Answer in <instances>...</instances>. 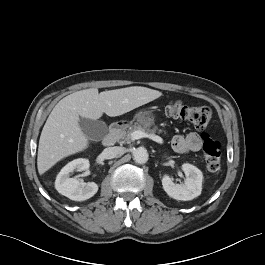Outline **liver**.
Masks as SVG:
<instances>
[{
    "instance_id": "1",
    "label": "liver",
    "mask_w": 265,
    "mask_h": 265,
    "mask_svg": "<svg viewBox=\"0 0 265 265\" xmlns=\"http://www.w3.org/2000/svg\"><path fill=\"white\" fill-rule=\"evenodd\" d=\"M162 95L141 86L98 92L90 88L61 99L50 113L41 132L37 168L40 175L65 157L84 151L89 142L80 128V117L99 119L103 113L114 117L147 104Z\"/></svg>"
}]
</instances>
